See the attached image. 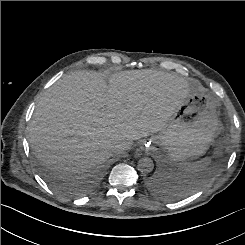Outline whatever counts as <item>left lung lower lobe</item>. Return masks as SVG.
Returning <instances> with one entry per match:
<instances>
[{"instance_id": "1", "label": "left lung lower lobe", "mask_w": 245, "mask_h": 245, "mask_svg": "<svg viewBox=\"0 0 245 245\" xmlns=\"http://www.w3.org/2000/svg\"><path fill=\"white\" fill-rule=\"evenodd\" d=\"M146 186L151 192L160 195L164 199H169L173 195H181L185 193L188 188L185 182L168 173H164L160 177L148 179Z\"/></svg>"}]
</instances>
